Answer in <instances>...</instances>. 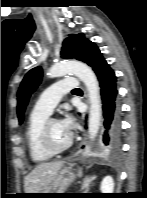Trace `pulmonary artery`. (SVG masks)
I'll use <instances>...</instances> for the list:
<instances>
[{"label": "pulmonary artery", "instance_id": "obj_1", "mask_svg": "<svg viewBox=\"0 0 147 198\" xmlns=\"http://www.w3.org/2000/svg\"><path fill=\"white\" fill-rule=\"evenodd\" d=\"M79 82L74 77L64 78L48 87L37 99L34 109L37 112L51 114L62 97L77 88Z\"/></svg>", "mask_w": 147, "mask_h": 198}]
</instances>
